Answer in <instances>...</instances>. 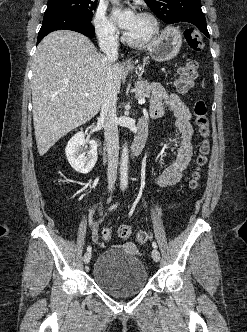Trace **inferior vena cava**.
<instances>
[{
	"label": "inferior vena cava",
	"instance_id": "602c4592",
	"mask_svg": "<svg viewBox=\"0 0 247 332\" xmlns=\"http://www.w3.org/2000/svg\"><path fill=\"white\" fill-rule=\"evenodd\" d=\"M100 49L105 53L110 62H114L118 58V44L114 35L110 32H103L99 39ZM117 93L112 84L106 85L102 105L100 119L104 124L105 144L108 156V191L112 192L117 178L118 157H119V135L116 116Z\"/></svg>",
	"mask_w": 247,
	"mask_h": 332
}]
</instances>
